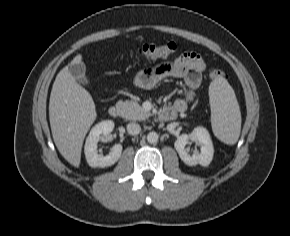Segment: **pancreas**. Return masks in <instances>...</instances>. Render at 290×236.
Returning a JSON list of instances; mask_svg holds the SVG:
<instances>
[{
	"label": "pancreas",
	"instance_id": "cf45deb5",
	"mask_svg": "<svg viewBox=\"0 0 290 236\" xmlns=\"http://www.w3.org/2000/svg\"><path fill=\"white\" fill-rule=\"evenodd\" d=\"M117 108L121 109V116L126 120H145L151 114L145 111L136 101H118Z\"/></svg>",
	"mask_w": 290,
	"mask_h": 236
}]
</instances>
